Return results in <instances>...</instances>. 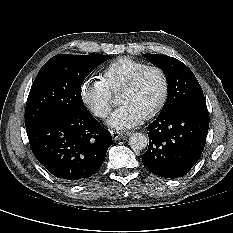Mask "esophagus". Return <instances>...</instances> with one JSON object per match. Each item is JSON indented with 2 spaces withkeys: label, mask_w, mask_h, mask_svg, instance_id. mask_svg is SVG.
Returning a JSON list of instances; mask_svg holds the SVG:
<instances>
[{
  "label": "esophagus",
  "mask_w": 233,
  "mask_h": 233,
  "mask_svg": "<svg viewBox=\"0 0 233 233\" xmlns=\"http://www.w3.org/2000/svg\"><path fill=\"white\" fill-rule=\"evenodd\" d=\"M111 136L114 140H120L125 138L128 134L127 133H122V132H118V131H110Z\"/></svg>",
  "instance_id": "1"
}]
</instances>
